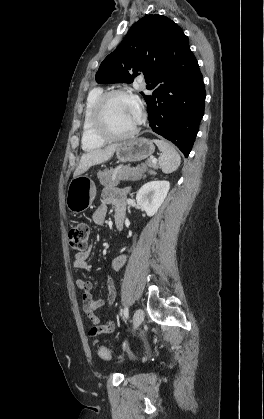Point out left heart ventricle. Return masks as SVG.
Wrapping results in <instances>:
<instances>
[{
	"instance_id": "left-heart-ventricle-1",
	"label": "left heart ventricle",
	"mask_w": 264,
	"mask_h": 419,
	"mask_svg": "<svg viewBox=\"0 0 264 419\" xmlns=\"http://www.w3.org/2000/svg\"><path fill=\"white\" fill-rule=\"evenodd\" d=\"M105 120L111 132L120 134L131 130L137 123L134 117V100L114 97L106 105Z\"/></svg>"
}]
</instances>
